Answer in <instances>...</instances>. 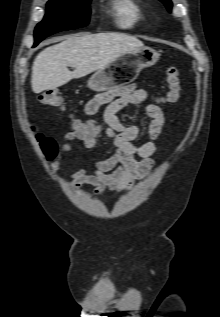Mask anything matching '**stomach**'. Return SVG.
<instances>
[{
  "label": "stomach",
  "instance_id": "stomach-1",
  "mask_svg": "<svg viewBox=\"0 0 220 317\" xmlns=\"http://www.w3.org/2000/svg\"><path fill=\"white\" fill-rule=\"evenodd\" d=\"M159 54L143 47L122 54L103 69L97 70L88 80V87L97 92L108 91L134 81L143 68L154 65Z\"/></svg>",
  "mask_w": 220,
  "mask_h": 317
}]
</instances>
